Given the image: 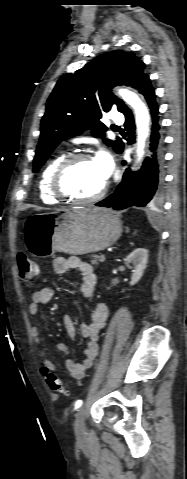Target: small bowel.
I'll return each mask as SVG.
<instances>
[{
  "label": "small bowel",
  "mask_w": 187,
  "mask_h": 479,
  "mask_svg": "<svg viewBox=\"0 0 187 479\" xmlns=\"http://www.w3.org/2000/svg\"><path fill=\"white\" fill-rule=\"evenodd\" d=\"M54 271L58 274H65L70 270H78L80 273V283L78 292L81 297L88 298L93 294L97 277L92 266L81 260L79 257H58L53 261ZM54 295V290L50 287L42 288L32 295V300L28 306V312L31 316L37 317L40 314V306L49 303ZM109 317V307L106 303L100 302L96 305L88 321L80 327L81 336L86 339V346L83 348L84 359L81 362L74 360L71 354V345L76 338V328L73 318L66 314L63 318L64 327L70 343L59 342L56 344V350L66 356L65 368L69 375L81 385L88 370L93 366L99 351V333L104 327ZM31 336L36 345L42 344L41 332L38 327L31 329ZM39 356L43 361L41 374L45 378L46 372H55V365L49 359L46 352L39 350Z\"/></svg>",
  "instance_id": "c3829d8e"
}]
</instances>
